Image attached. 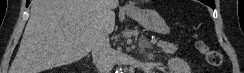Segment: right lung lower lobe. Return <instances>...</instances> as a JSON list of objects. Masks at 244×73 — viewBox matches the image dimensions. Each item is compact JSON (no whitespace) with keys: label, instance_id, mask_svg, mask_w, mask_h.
Listing matches in <instances>:
<instances>
[{"label":"right lung lower lobe","instance_id":"right-lung-lower-lobe-1","mask_svg":"<svg viewBox=\"0 0 244 73\" xmlns=\"http://www.w3.org/2000/svg\"><path fill=\"white\" fill-rule=\"evenodd\" d=\"M30 4V0L26 1V6H28Z\"/></svg>","mask_w":244,"mask_h":73}]
</instances>
